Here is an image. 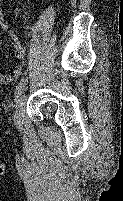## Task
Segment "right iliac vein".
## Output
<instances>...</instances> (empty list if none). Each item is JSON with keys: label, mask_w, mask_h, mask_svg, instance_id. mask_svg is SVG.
<instances>
[{"label": "right iliac vein", "mask_w": 123, "mask_h": 201, "mask_svg": "<svg viewBox=\"0 0 123 201\" xmlns=\"http://www.w3.org/2000/svg\"><path fill=\"white\" fill-rule=\"evenodd\" d=\"M25 104H26V94L23 93L20 96L19 101L17 103V108L14 116V121L17 127H20L23 123Z\"/></svg>", "instance_id": "63e3f726"}]
</instances>
